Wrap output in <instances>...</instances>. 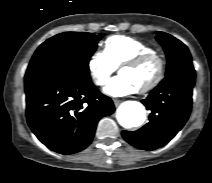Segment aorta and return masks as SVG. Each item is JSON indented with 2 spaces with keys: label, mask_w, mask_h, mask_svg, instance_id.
<instances>
[{
  "label": "aorta",
  "mask_w": 212,
  "mask_h": 183,
  "mask_svg": "<svg viewBox=\"0 0 212 183\" xmlns=\"http://www.w3.org/2000/svg\"><path fill=\"white\" fill-rule=\"evenodd\" d=\"M146 117L144 106L136 101H127L117 110V120L125 128L138 127L143 124Z\"/></svg>",
  "instance_id": "762f6f07"
}]
</instances>
